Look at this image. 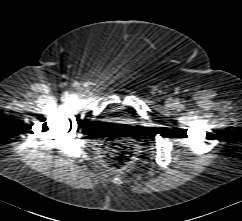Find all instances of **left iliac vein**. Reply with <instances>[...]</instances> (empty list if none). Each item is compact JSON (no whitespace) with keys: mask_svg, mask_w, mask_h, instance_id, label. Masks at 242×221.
<instances>
[{"mask_svg":"<svg viewBox=\"0 0 242 221\" xmlns=\"http://www.w3.org/2000/svg\"><path fill=\"white\" fill-rule=\"evenodd\" d=\"M168 103H169L170 105H173V100H172V99H169Z\"/></svg>","mask_w":242,"mask_h":221,"instance_id":"obj_1","label":"left iliac vein"}]
</instances>
